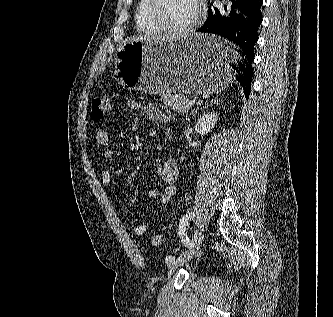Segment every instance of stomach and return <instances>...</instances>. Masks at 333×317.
<instances>
[{"instance_id":"stomach-1","label":"stomach","mask_w":333,"mask_h":317,"mask_svg":"<svg viewBox=\"0 0 333 317\" xmlns=\"http://www.w3.org/2000/svg\"><path fill=\"white\" fill-rule=\"evenodd\" d=\"M223 40L225 33L125 41L116 53L115 74L123 87L149 94H217L234 88L225 62H239L237 46Z\"/></svg>"}]
</instances>
